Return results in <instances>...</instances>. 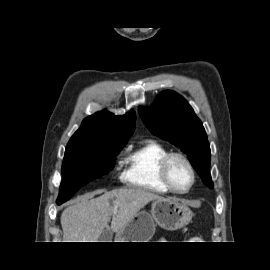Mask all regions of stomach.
I'll list each match as a JSON object with an SVG mask.
<instances>
[{"instance_id":"1","label":"stomach","mask_w":270,"mask_h":270,"mask_svg":"<svg viewBox=\"0 0 270 270\" xmlns=\"http://www.w3.org/2000/svg\"><path fill=\"white\" fill-rule=\"evenodd\" d=\"M192 216L191 209L176 199H156L152 203L151 213L139 211L116 233V242H148L156 225L166 230H177L186 226Z\"/></svg>"}]
</instances>
